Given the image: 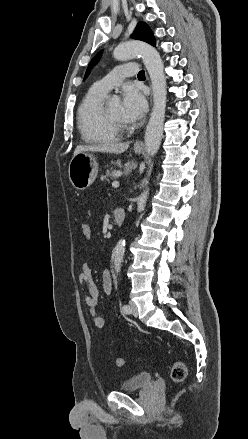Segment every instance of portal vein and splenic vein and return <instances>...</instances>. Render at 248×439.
Here are the masks:
<instances>
[{
  "label": "portal vein and splenic vein",
  "instance_id": "18ae733b",
  "mask_svg": "<svg viewBox=\"0 0 248 439\" xmlns=\"http://www.w3.org/2000/svg\"><path fill=\"white\" fill-rule=\"evenodd\" d=\"M112 186H113L114 188H118V187H119V182H118V181H114V182H112Z\"/></svg>",
  "mask_w": 248,
  "mask_h": 439
}]
</instances>
